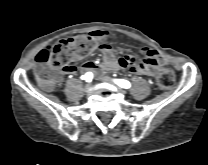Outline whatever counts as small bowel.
Wrapping results in <instances>:
<instances>
[{
  "label": "small bowel",
  "instance_id": "1",
  "mask_svg": "<svg viewBox=\"0 0 208 165\" xmlns=\"http://www.w3.org/2000/svg\"><path fill=\"white\" fill-rule=\"evenodd\" d=\"M96 41H100L108 36L106 30H94L90 33ZM99 51L102 53L103 60L101 64L94 61H88L83 64L82 70L85 72H102L117 69H126L128 72L154 76L161 66L162 58L160 54L151 48H143L144 59L139 60L135 56L126 55L120 59L116 58V49L109 44H101L98 46ZM129 57V59L127 58ZM78 65L76 63H67L62 66V73L64 75H74L78 72Z\"/></svg>",
  "mask_w": 208,
  "mask_h": 165
}]
</instances>
